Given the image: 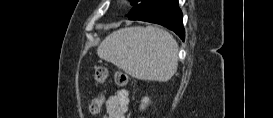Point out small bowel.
Instances as JSON below:
<instances>
[{"label":"small bowel","mask_w":273,"mask_h":118,"mask_svg":"<svg viewBox=\"0 0 273 118\" xmlns=\"http://www.w3.org/2000/svg\"><path fill=\"white\" fill-rule=\"evenodd\" d=\"M129 105V92L118 90L106 101V118H125Z\"/></svg>","instance_id":"small-bowel-1"}]
</instances>
